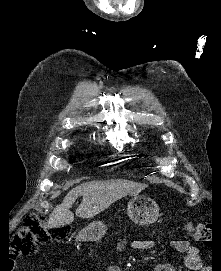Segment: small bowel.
<instances>
[{
    "label": "small bowel",
    "mask_w": 221,
    "mask_h": 271,
    "mask_svg": "<svg viewBox=\"0 0 221 271\" xmlns=\"http://www.w3.org/2000/svg\"><path fill=\"white\" fill-rule=\"evenodd\" d=\"M127 241H122L117 245V250L121 251L125 248ZM171 245L180 253L184 254L183 261L184 265L191 271H200L202 269V263L199 256V249L192 246L186 240H173ZM130 246L134 250L146 251L150 250L154 246V242L149 239H136L130 241ZM108 271H122V268L110 265L107 269ZM153 271H178V269L170 264H157L154 266Z\"/></svg>",
    "instance_id": "1"
}]
</instances>
